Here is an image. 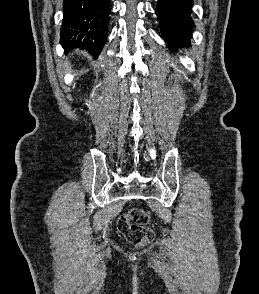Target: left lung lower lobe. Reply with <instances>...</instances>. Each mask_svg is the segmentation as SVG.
Listing matches in <instances>:
<instances>
[{
	"instance_id": "left-lung-lower-lobe-1",
	"label": "left lung lower lobe",
	"mask_w": 259,
	"mask_h": 294,
	"mask_svg": "<svg viewBox=\"0 0 259 294\" xmlns=\"http://www.w3.org/2000/svg\"><path fill=\"white\" fill-rule=\"evenodd\" d=\"M157 4L161 33L170 49L189 46L193 29V0H158Z\"/></svg>"
}]
</instances>
